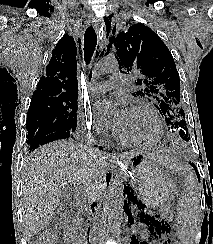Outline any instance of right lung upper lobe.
Listing matches in <instances>:
<instances>
[{"label":"right lung upper lobe","instance_id":"1","mask_svg":"<svg viewBox=\"0 0 213 244\" xmlns=\"http://www.w3.org/2000/svg\"><path fill=\"white\" fill-rule=\"evenodd\" d=\"M76 53L73 37L65 34L52 51L46 75L40 78L32 99L52 96L78 97Z\"/></svg>","mask_w":213,"mask_h":244}]
</instances>
